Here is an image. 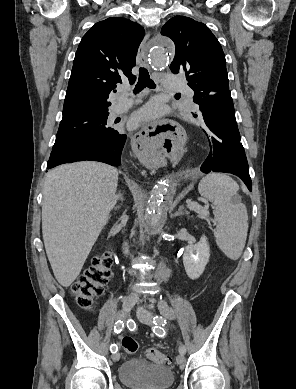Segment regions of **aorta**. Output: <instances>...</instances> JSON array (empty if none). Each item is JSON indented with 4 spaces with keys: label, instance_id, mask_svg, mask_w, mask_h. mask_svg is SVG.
<instances>
[{
    "label": "aorta",
    "instance_id": "obj_1",
    "mask_svg": "<svg viewBox=\"0 0 296 389\" xmlns=\"http://www.w3.org/2000/svg\"><path fill=\"white\" fill-rule=\"evenodd\" d=\"M172 43L167 38H159L153 41L149 56V63L157 69L165 66H173L174 56ZM176 195V186H171L167 181L158 182L152 189L150 198L146 205L144 216V231L141 240H146L149 236L159 232L165 223L167 212L173 203ZM152 275L162 280L167 275V270L163 266H157Z\"/></svg>",
    "mask_w": 296,
    "mask_h": 389
}]
</instances>
